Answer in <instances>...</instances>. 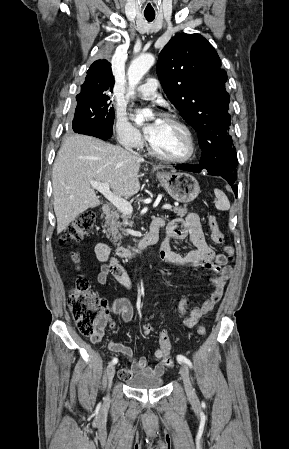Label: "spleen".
<instances>
[{"instance_id":"spleen-1","label":"spleen","mask_w":289,"mask_h":449,"mask_svg":"<svg viewBox=\"0 0 289 449\" xmlns=\"http://www.w3.org/2000/svg\"><path fill=\"white\" fill-rule=\"evenodd\" d=\"M214 193L217 198V201L215 203L216 208L218 210H222V211L229 210L230 203H229L227 196L224 194V192L219 189H215Z\"/></svg>"}]
</instances>
